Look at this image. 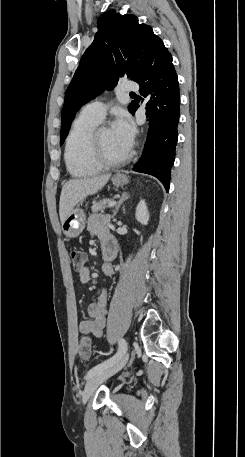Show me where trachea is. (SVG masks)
Returning a JSON list of instances; mask_svg holds the SVG:
<instances>
[{
  "label": "trachea",
  "instance_id": "3493384b",
  "mask_svg": "<svg viewBox=\"0 0 245 457\" xmlns=\"http://www.w3.org/2000/svg\"><path fill=\"white\" fill-rule=\"evenodd\" d=\"M130 95H135L134 92H131Z\"/></svg>",
  "mask_w": 245,
  "mask_h": 457
}]
</instances>
